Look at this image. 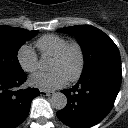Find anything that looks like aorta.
Segmentation results:
<instances>
[{
  "mask_svg": "<svg viewBox=\"0 0 128 128\" xmlns=\"http://www.w3.org/2000/svg\"><path fill=\"white\" fill-rule=\"evenodd\" d=\"M39 63H40L41 68H43V69L47 68L46 58H41ZM50 102H51V105L53 108H55L57 110H62L67 105V97L61 92H56V93L52 94Z\"/></svg>",
  "mask_w": 128,
  "mask_h": 128,
  "instance_id": "1",
  "label": "aorta"
}]
</instances>
